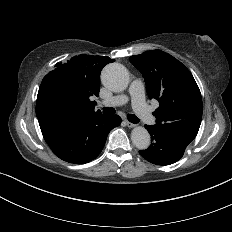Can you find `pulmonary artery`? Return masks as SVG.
Masks as SVG:
<instances>
[{"label":"pulmonary artery","mask_w":232,"mask_h":232,"mask_svg":"<svg viewBox=\"0 0 232 232\" xmlns=\"http://www.w3.org/2000/svg\"><path fill=\"white\" fill-rule=\"evenodd\" d=\"M146 87V80L141 75H136L132 78L130 84V91L124 92V94L119 97H107L102 100V102H98L99 105L103 106H122L128 100H132L131 107L138 113L146 123L151 124L155 120V116L152 111L145 105V101L142 98L141 91H143Z\"/></svg>","instance_id":"pulmonary-artery-1"}]
</instances>
